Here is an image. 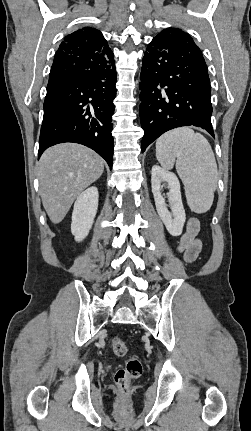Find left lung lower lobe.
Returning <instances> with one entry per match:
<instances>
[{
	"instance_id": "obj_1",
	"label": "left lung lower lobe",
	"mask_w": 251,
	"mask_h": 431,
	"mask_svg": "<svg viewBox=\"0 0 251 431\" xmlns=\"http://www.w3.org/2000/svg\"><path fill=\"white\" fill-rule=\"evenodd\" d=\"M142 70V151L164 132L181 126L201 127L214 137L207 66L189 35L159 33L147 46Z\"/></svg>"
}]
</instances>
